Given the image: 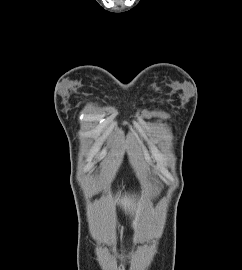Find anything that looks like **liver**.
Wrapping results in <instances>:
<instances>
[{"instance_id":"obj_1","label":"liver","mask_w":242,"mask_h":270,"mask_svg":"<svg viewBox=\"0 0 242 270\" xmlns=\"http://www.w3.org/2000/svg\"><path fill=\"white\" fill-rule=\"evenodd\" d=\"M119 202H120V205L125 209V211H128L130 213L135 211L136 205L134 204V200H132L130 197L125 196L124 198L119 200ZM139 211H140V205L138 207V210L136 211L137 216H138Z\"/></svg>"}]
</instances>
